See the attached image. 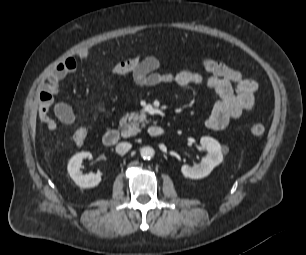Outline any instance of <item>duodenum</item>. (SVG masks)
I'll list each match as a JSON object with an SVG mask.
<instances>
[{
  "instance_id": "1",
  "label": "duodenum",
  "mask_w": 306,
  "mask_h": 255,
  "mask_svg": "<svg viewBox=\"0 0 306 255\" xmlns=\"http://www.w3.org/2000/svg\"><path fill=\"white\" fill-rule=\"evenodd\" d=\"M148 133L151 137H160L164 134V129L155 125L148 128ZM102 139L106 146H114L120 140V132L117 129H109L104 133Z\"/></svg>"
}]
</instances>
